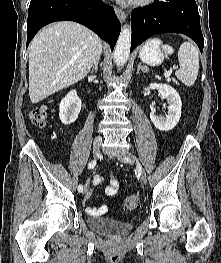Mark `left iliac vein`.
Instances as JSON below:
<instances>
[{
	"instance_id": "obj_1",
	"label": "left iliac vein",
	"mask_w": 221,
	"mask_h": 263,
	"mask_svg": "<svg viewBox=\"0 0 221 263\" xmlns=\"http://www.w3.org/2000/svg\"><path fill=\"white\" fill-rule=\"evenodd\" d=\"M118 159L122 162H125V163H130V164H134L136 163L134 158L132 157V155L128 152H121L120 154H118ZM140 179H141V182L143 184H146L147 183V175H146V172L144 169H140Z\"/></svg>"
}]
</instances>
